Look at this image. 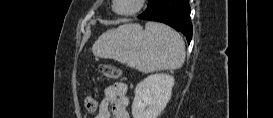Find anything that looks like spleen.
<instances>
[{"mask_svg":"<svg viewBox=\"0 0 273 118\" xmlns=\"http://www.w3.org/2000/svg\"><path fill=\"white\" fill-rule=\"evenodd\" d=\"M95 56L114 59L148 73L181 68L185 60L182 37L163 24H124L103 33L93 45Z\"/></svg>","mask_w":273,"mask_h":118,"instance_id":"obj_1","label":"spleen"}]
</instances>
